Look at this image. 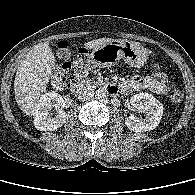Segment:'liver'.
Listing matches in <instances>:
<instances>
[{
  "label": "liver",
  "instance_id": "liver-1",
  "mask_svg": "<svg viewBox=\"0 0 195 195\" xmlns=\"http://www.w3.org/2000/svg\"><path fill=\"white\" fill-rule=\"evenodd\" d=\"M112 40L100 38L85 43L84 47L88 50L97 49ZM55 64L49 42L35 45L20 62L14 80V93L20 110L26 115H34L38 101L46 92Z\"/></svg>",
  "mask_w": 195,
  "mask_h": 195
}]
</instances>
